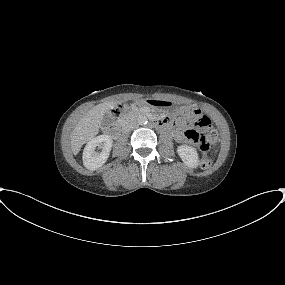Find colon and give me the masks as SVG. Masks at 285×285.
I'll return each mask as SVG.
<instances>
[{"instance_id": "obj_1", "label": "colon", "mask_w": 285, "mask_h": 285, "mask_svg": "<svg viewBox=\"0 0 285 285\" xmlns=\"http://www.w3.org/2000/svg\"><path fill=\"white\" fill-rule=\"evenodd\" d=\"M184 120L196 128H190L185 132V138L198 145L203 155L200 159V166L208 169L213 163V159L206 154L210 145L217 141L215 130L206 131L210 126V119L204 114H197L194 110H188L184 115Z\"/></svg>"}]
</instances>
